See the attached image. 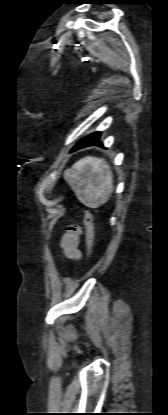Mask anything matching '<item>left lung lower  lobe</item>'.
Listing matches in <instances>:
<instances>
[{
    "label": "left lung lower lobe",
    "instance_id": "1",
    "mask_svg": "<svg viewBox=\"0 0 168 415\" xmlns=\"http://www.w3.org/2000/svg\"><path fill=\"white\" fill-rule=\"evenodd\" d=\"M100 134L101 132H94L91 135L83 138L80 142L76 144L72 151H76L78 149L85 148L88 146H103V144L100 142Z\"/></svg>",
    "mask_w": 168,
    "mask_h": 415
}]
</instances>
